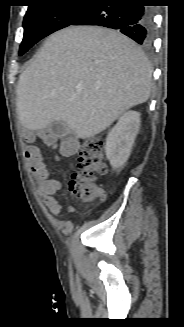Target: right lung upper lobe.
Instances as JSON below:
<instances>
[{"label": "right lung upper lobe", "mask_w": 184, "mask_h": 327, "mask_svg": "<svg viewBox=\"0 0 184 327\" xmlns=\"http://www.w3.org/2000/svg\"><path fill=\"white\" fill-rule=\"evenodd\" d=\"M32 3H40V2H45V1H49V0H30ZM32 5H30L29 7H31Z\"/></svg>", "instance_id": "right-lung-upper-lobe-1"}]
</instances>
